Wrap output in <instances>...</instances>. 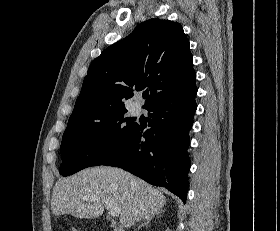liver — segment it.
Segmentation results:
<instances>
[{"label": "liver", "instance_id": "1", "mask_svg": "<svg viewBox=\"0 0 280 231\" xmlns=\"http://www.w3.org/2000/svg\"><path fill=\"white\" fill-rule=\"evenodd\" d=\"M139 199L137 209L134 203ZM166 203L163 189L138 179L118 167H88L70 177H60L53 187L51 209L54 215L99 217L104 207H119V223L131 227L147 215L160 211Z\"/></svg>", "mask_w": 280, "mask_h": 231}]
</instances>
